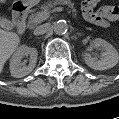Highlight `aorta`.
I'll use <instances>...</instances> for the list:
<instances>
[{"label": "aorta", "instance_id": "aorta-1", "mask_svg": "<svg viewBox=\"0 0 119 119\" xmlns=\"http://www.w3.org/2000/svg\"><path fill=\"white\" fill-rule=\"evenodd\" d=\"M53 30L58 35L65 34L68 31V24L65 20H59L53 24Z\"/></svg>", "mask_w": 119, "mask_h": 119}]
</instances>
